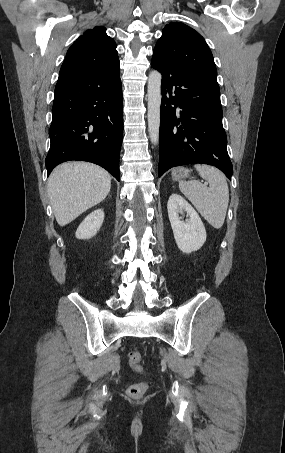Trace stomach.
Wrapping results in <instances>:
<instances>
[{"label":"stomach","mask_w":285,"mask_h":453,"mask_svg":"<svg viewBox=\"0 0 285 453\" xmlns=\"http://www.w3.org/2000/svg\"><path fill=\"white\" fill-rule=\"evenodd\" d=\"M190 170L184 167H178L173 169L172 171V178L174 181H184L186 178L189 177Z\"/></svg>","instance_id":"obj_1"}]
</instances>
